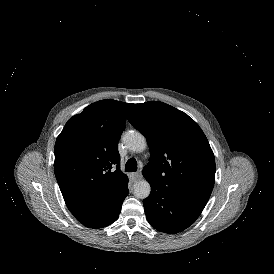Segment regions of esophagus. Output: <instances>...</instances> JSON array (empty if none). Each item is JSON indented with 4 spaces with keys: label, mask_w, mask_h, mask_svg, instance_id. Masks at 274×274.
Returning <instances> with one entry per match:
<instances>
[{
    "label": "esophagus",
    "mask_w": 274,
    "mask_h": 274,
    "mask_svg": "<svg viewBox=\"0 0 274 274\" xmlns=\"http://www.w3.org/2000/svg\"><path fill=\"white\" fill-rule=\"evenodd\" d=\"M128 177L131 182H135L136 180H139L142 178V174L141 172H134V173L128 174Z\"/></svg>",
    "instance_id": "34e87169"
}]
</instances>
